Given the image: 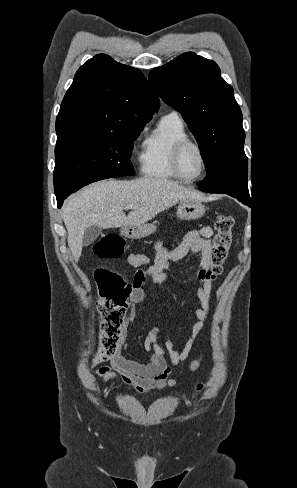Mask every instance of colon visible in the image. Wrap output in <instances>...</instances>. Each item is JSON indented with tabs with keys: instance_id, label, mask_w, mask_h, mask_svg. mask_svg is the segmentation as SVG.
Here are the masks:
<instances>
[{
	"instance_id": "1",
	"label": "colon",
	"mask_w": 297,
	"mask_h": 488,
	"mask_svg": "<svg viewBox=\"0 0 297 488\" xmlns=\"http://www.w3.org/2000/svg\"><path fill=\"white\" fill-rule=\"evenodd\" d=\"M234 219L218 213L214 219L215 235L210 255V273L215 278L222 272L232 245ZM94 253L103 259H118L123 255V239L117 234L102 237L94 245ZM95 278L99 285L98 309L102 316L96 361L100 362L115 355L123 334L125 312L134 285L144 281L143 270H138L133 282H126L123 277L104 266L95 269ZM199 385L197 391L200 392Z\"/></svg>"
}]
</instances>
